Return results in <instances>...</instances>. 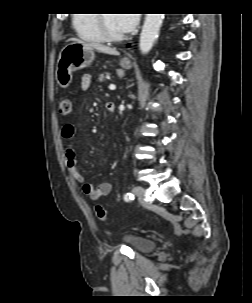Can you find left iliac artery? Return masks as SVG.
Wrapping results in <instances>:
<instances>
[{
    "instance_id": "obj_1",
    "label": "left iliac artery",
    "mask_w": 252,
    "mask_h": 303,
    "mask_svg": "<svg viewBox=\"0 0 252 303\" xmlns=\"http://www.w3.org/2000/svg\"><path fill=\"white\" fill-rule=\"evenodd\" d=\"M134 199V195L132 193H127L124 195V200L128 201V200H133Z\"/></svg>"
}]
</instances>
